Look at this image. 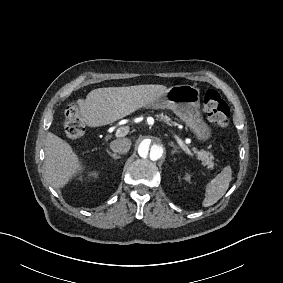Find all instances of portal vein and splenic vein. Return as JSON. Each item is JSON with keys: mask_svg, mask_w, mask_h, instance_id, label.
<instances>
[{"mask_svg": "<svg viewBox=\"0 0 283 283\" xmlns=\"http://www.w3.org/2000/svg\"><path fill=\"white\" fill-rule=\"evenodd\" d=\"M124 130V128H119L116 133H115V137H119L120 133ZM187 140L185 142L181 141L180 139H178V143L181 146L182 150L190 157H194L192 151L186 146L187 144Z\"/></svg>", "mask_w": 283, "mask_h": 283, "instance_id": "1", "label": "portal vein and splenic vein"}]
</instances>
